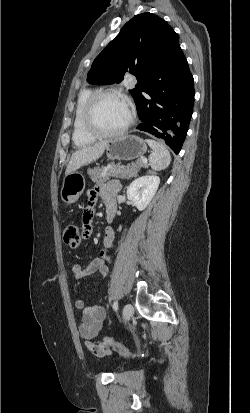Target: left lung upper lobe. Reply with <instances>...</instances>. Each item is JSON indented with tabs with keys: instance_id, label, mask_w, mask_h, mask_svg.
<instances>
[{
	"instance_id": "1",
	"label": "left lung upper lobe",
	"mask_w": 250,
	"mask_h": 413,
	"mask_svg": "<svg viewBox=\"0 0 250 413\" xmlns=\"http://www.w3.org/2000/svg\"><path fill=\"white\" fill-rule=\"evenodd\" d=\"M178 35L162 18L142 13L127 22L120 33L95 58L87 81L90 84L120 83L127 73L138 83L129 90L134 100L149 77L158 73L163 64L164 49Z\"/></svg>"
}]
</instances>
